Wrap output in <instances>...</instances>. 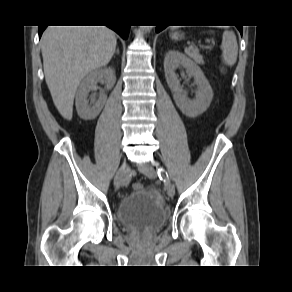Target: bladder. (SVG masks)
Instances as JSON below:
<instances>
[{
    "mask_svg": "<svg viewBox=\"0 0 292 292\" xmlns=\"http://www.w3.org/2000/svg\"><path fill=\"white\" fill-rule=\"evenodd\" d=\"M119 222L136 231L153 232L167 220L168 209L154 189H141L123 197L117 207Z\"/></svg>",
    "mask_w": 292,
    "mask_h": 292,
    "instance_id": "bladder-1",
    "label": "bladder"
}]
</instances>
